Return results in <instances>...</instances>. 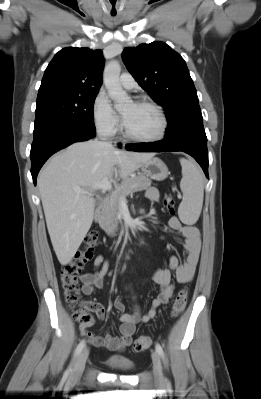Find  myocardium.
<instances>
[{
	"label": "myocardium",
	"instance_id": "f54148a6",
	"mask_svg": "<svg viewBox=\"0 0 261 399\" xmlns=\"http://www.w3.org/2000/svg\"><path fill=\"white\" fill-rule=\"evenodd\" d=\"M136 103L140 104V105L148 106V107L154 109L161 119V128H160L159 132L154 136L140 137V136H136V135L132 134L129 131V129L127 128L125 121L123 120L122 128H123L124 136L129 140L139 142V143H154V142H158V141L162 140L166 136V134L168 132V128H169L168 117H167L166 113L164 112V110L162 109V107L160 105H158L157 103H155L151 100H147V99L138 100Z\"/></svg>",
	"mask_w": 261,
	"mask_h": 399
}]
</instances>
